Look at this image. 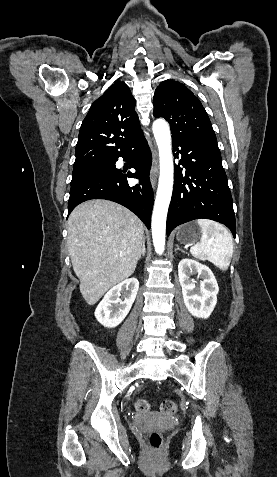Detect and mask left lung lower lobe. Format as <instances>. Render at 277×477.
I'll list each match as a JSON object with an SVG mask.
<instances>
[{"instance_id": "obj_1", "label": "left lung lower lobe", "mask_w": 277, "mask_h": 477, "mask_svg": "<svg viewBox=\"0 0 277 477\" xmlns=\"http://www.w3.org/2000/svg\"><path fill=\"white\" fill-rule=\"evenodd\" d=\"M181 154L168 210L167 235L178 225L205 218L226 225L236 235L232 196L216 139L172 137ZM179 153H176L177 156Z\"/></svg>"}]
</instances>
